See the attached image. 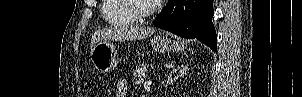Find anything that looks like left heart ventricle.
<instances>
[{"mask_svg": "<svg viewBox=\"0 0 302 97\" xmlns=\"http://www.w3.org/2000/svg\"><path fill=\"white\" fill-rule=\"evenodd\" d=\"M151 3L148 0H136L135 5L140 11H145Z\"/></svg>", "mask_w": 302, "mask_h": 97, "instance_id": "obj_1", "label": "left heart ventricle"}]
</instances>
